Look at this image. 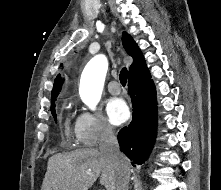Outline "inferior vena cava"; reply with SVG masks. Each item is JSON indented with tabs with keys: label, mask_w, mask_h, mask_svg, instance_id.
Here are the masks:
<instances>
[{
	"label": "inferior vena cava",
	"mask_w": 221,
	"mask_h": 190,
	"mask_svg": "<svg viewBox=\"0 0 221 190\" xmlns=\"http://www.w3.org/2000/svg\"><path fill=\"white\" fill-rule=\"evenodd\" d=\"M99 150L114 164L118 172L116 190H128L130 164L126 157L120 152L117 138L108 126L103 127L101 131Z\"/></svg>",
	"instance_id": "obj_1"
}]
</instances>
